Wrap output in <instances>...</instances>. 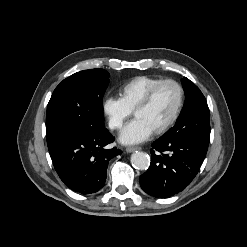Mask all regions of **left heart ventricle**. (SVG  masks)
<instances>
[{"instance_id": "b2bd125f", "label": "left heart ventricle", "mask_w": 247, "mask_h": 247, "mask_svg": "<svg viewBox=\"0 0 247 247\" xmlns=\"http://www.w3.org/2000/svg\"><path fill=\"white\" fill-rule=\"evenodd\" d=\"M178 103V91L175 86H162L150 105L139 111L135 118L143 121L152 131L164 125L172 116Z\"/></svg>"}]
</instances>
